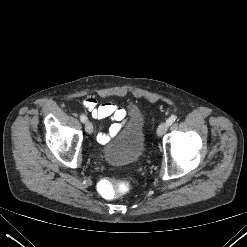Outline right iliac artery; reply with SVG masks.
Segmentation results:
<instances>
[{
    "instance_id": "obj_1",
    "label": "right iliac artery",
    "mask_w": 247,
    "mask_h": 247,
    "mask_svg": "<svg viewBox=\"0 0 247 247\" xmlns=\"http://www.w3.org/2000/svg\"><path fill=\"white\" fill-rule=\"evenodd\" d=\"M80 120H81V122L85 123L86 120H87V118H86L85 115L82 114V115L80 116Z\"/></svg>"
}]
</instances>
